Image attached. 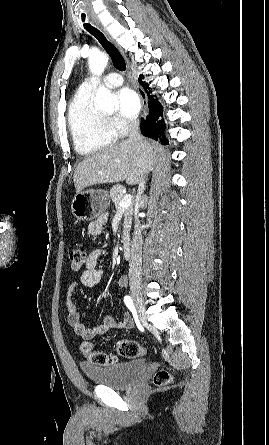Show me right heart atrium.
<instances>
[{
	"label": "right heart atrium",
	"mask_w": 269,
	"mask_h": 445,
	"mask_svg": "<svg viewBox=\"0 0 269 445\" xmlns=\"http://www.w3.org/2000/svg\"><path fill=\"white\" fill-rule=\"evenodd\" d=\"M109 123L117 136L125 135L134 126V121L120 117L110 118Z\"/></svg>",
	"instance_id": "right-heart-atrium-1"
}]
</instances>
